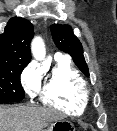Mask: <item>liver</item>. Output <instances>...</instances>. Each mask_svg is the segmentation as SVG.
<instances>
[{"mask_svg":"<svg viewBox=\"0 0 117 131\" xmlns=\"http://www.w3.org/2000/svg\"><path fill=\"white\" fill-rule=\"evenodd\" d=\"M64 116L52 108L14 106L0 107V131H42Z\"/></svg>","mask_w":117,"mask_h":131,"instance_id":"6515ba94","label":"liver"}]
</instances>
